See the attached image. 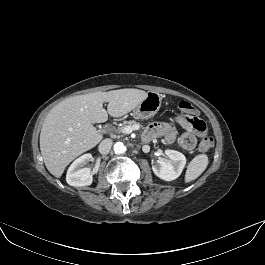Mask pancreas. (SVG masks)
<instances>
[{"mask_svg": "<svg viewBox=\"0 0 265 265\" xmlns=\"http://www.w3.org/2000/svg\"><path fill=\"white\" fill-rule=\"evenodd\" d=\"M135 123H136L135 121H124L123 126L118 127L117 131L118 132H122V130L124 129V127H126V124L133 125Z\"/></svg>", "mask_w": 265, "mask_h": 265, "instance_id": "obj_1", "label": "pancreas"}]
</instances>
